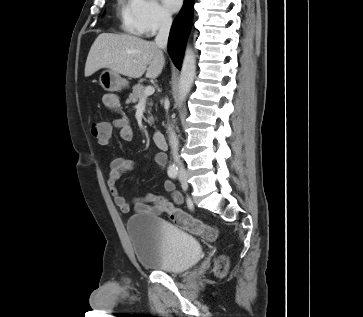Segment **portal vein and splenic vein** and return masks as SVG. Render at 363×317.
<instances>
[{"label": "portal vein and splenic vein", "mask_w": 363, "mask_h": 317, "mask_svg": "<svg viewBox=\"0 0 363 317\" xmlns=\"http://www.w3.org/2000/svg\"><path fill=\"white\" fill-rule=\"evenodd\" d=\"M154 91H155L154 87H153V86H151V85H148V86L145 88V91H144V97H143L142 99H144V98H146V97H148V96L152 95V94L154 93Z\"/></svg>", "instance_id": "portal-vein-and-splenic-vein-1"}]
</instances>
